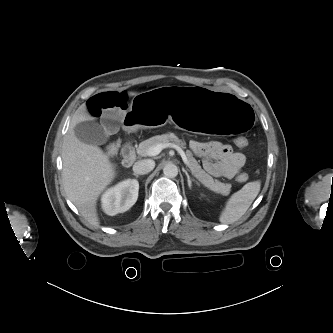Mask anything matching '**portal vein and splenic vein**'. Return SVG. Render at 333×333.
Listing matches in <instances>:
<instances>
[{
    "instance_id": "1",
    "label": "portal vein and splenic vein",
    "mask_w": 333,
    "mask_h": 333,
    "mask_svg": "<svg viewBox=\"0 0 333 333\" xmlns=\"http://www.w3.org/2000/svg\"><path fill=\"white\" fill-rule=\"evenodd\" d=\"M166 147L175 148L178 151V153L181 155L183 162L186 165H188L189 162H188V158H187L185 152L178 145H175V144H172V143L157 144L156 146H153V147L149 148L147 154L149 156H156Z\"/></svg>"
}]
</instances>
